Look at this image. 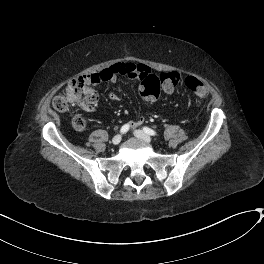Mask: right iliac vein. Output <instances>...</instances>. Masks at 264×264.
<instances>
[{
	"label": "right iliac vein",
	"instance_id": "obj_1",
	"mask_svg": "<svg viewBox=\"0 0 264 264\" xmlns=\"http://www.w3.org/2000/svg\"><path fill=\"white\" fill-rule=\"evenodd\" d=\"M122 136L121 135H116L113 139H112V144L113 145H118L121 142Z\"/></svg>",
	"mask_w": 264,
	"mask_h": 264
}]
</instances>
